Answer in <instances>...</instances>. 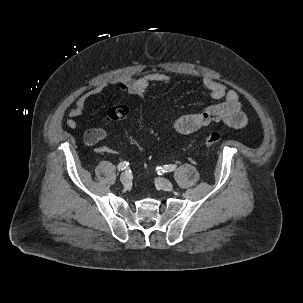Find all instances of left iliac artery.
Listing matches in <instances>:
<instances>
[{
  "label": "left iliac artery",
  "mask_w": 303,
  "mask_h": 303,
  "mask_svg": "<svg viewBox=\"0 0 303 303\" xmlns=\"http://www.w3.org/2000/svg\"><path fill=\"white\" fill-rule=\"evenodd\" d=\"M176 165L174 164H168V165H164L163 167H157V171H158V174H161V173H165V172H172L176 169Z\"/></svg>",
  "instance_id": "44dca946"
}]
</instances>
